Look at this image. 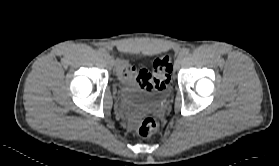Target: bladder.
<instances>
[{"label":"bladder","mask_w":279,"mask_h":166,"mask_svg":"<svg viewBox=\"0 0 279 166\" xmlns=\"http://www.w3.org/2000/svg\"><path fill=\"white\" fill-rule=\"evenodd\" d=\"M133 91H134V89L131 88V87H128V88L123 89V95H124V97H126V98L132 97V98H133V95H132V92H133Z\"/></svg>","instance_id":"obj_1"}]
</instances>
